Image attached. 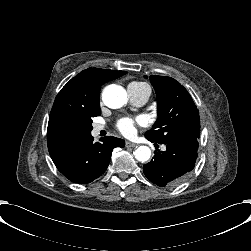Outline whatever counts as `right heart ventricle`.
Instances as JSON below:
<instances>
[{
	"label": "right heart ventricle",
	"mask_w": 251,
	"mask_h": 251,
	"mask_svg": "<svg viewBox=\"0 0 251 251\" xmlns=\"http://www.w3.org/2000/svg\"><path fill=\"white\" fill-rule=\"evenodd\" d=\"M128 89H131L133 93L138 97H147L149 98L151 89L149 85L141 81H131L128 85Z\"/></svg>",
	"instance_id": "right-heart-ventricle-1"
}]
</instances>
